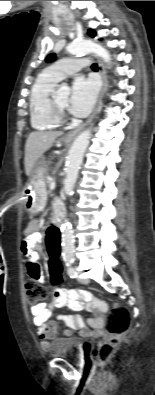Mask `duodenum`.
Instances as JSON below:
<instances>
[{
    "label": "duodenum",
    "mask_w": 155,
    "mask_h": 395,
    "mask_svg": "<svg viewBox=\"0 0 155 395\" xmlns=\"http://www.w3.org/2000/svg\"><path fill=\"white\" fill-rule=\"evenodd\" d=\"M64 217H65L64 211L61 208L56 209L53 216V224L56 227H59L62 224Z\"/></svg>",
    "instance_id": "1"
}]
</instances>
